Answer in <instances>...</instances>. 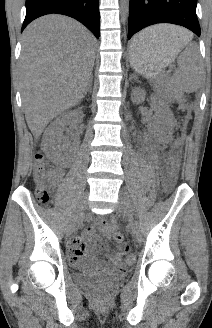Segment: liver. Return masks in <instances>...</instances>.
Wrapping results in <instances>:
<instances>
[{"label":"liver","instance_id":"6515ba94","mask_svg":"<svg viewBox=\"0 0 212 328\" xmlns=\"http://www.w3.org/2000/svg\"><path fill=\"white\" fill-rule=\"evenodd\" d=\"M160 40L187 43L192 34L173 25L151 28ZM96 41L81 23L47 15L30 23L23 33L19 64L25 118L37 139L58 114L77 105L91 79Z\"/></svg>","mask_w":212,"mask_h":328}]
</instances>
